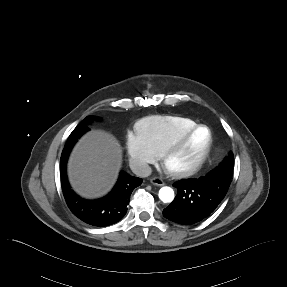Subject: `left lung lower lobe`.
<instances>
[{"label":"left lung lower lobe","mask_w":287,"mask_h":287,"mask_svg":"<svg viewBox=\"0 0 287 287\" xmlns=\"http://www.w3.org/2000/svg\"><path fill=\"white\" fill-rule=\"evenodd\" d=\"M224 172L215 168L198 179H183L174 183L178 193L163 210L164 217L183 225H191L208 217L228 191L230 178Z\"/></svg>","instance_id":"left-lung-lower-lobe-1"}]
</instances>
